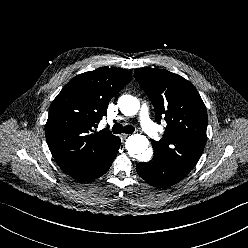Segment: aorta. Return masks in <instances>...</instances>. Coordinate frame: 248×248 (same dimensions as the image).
<instances>
[{
	"label": "aorta",
	"instance_id": "1",
	"mask_svg": "<svg viewBox=\"0 0 248 248\" xmlns=\"http://www.w3.org/2000/svg\"><path fill=\"white\" fill-rule=\"evenodd\" d=\"M120 111L126 116H133L140 109L139 100L131 95H122L118 99ZM149 141L145 136L133 134L126 140V149L131 157L146 162L152 157V150L148 148Z\"/></svg>",
	"mask_w": 248,
	"mask_h": 248
}]
</instances>
